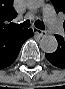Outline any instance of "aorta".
<instances>
[{"label":"aorta","mask_w":65,"mask_h":89,"mask_svg":"<svg viewBox=\"0 0 65 89\" xmlns=\"http://www.w3.org/2000/svg\"><path fill=\"white\" fill-rule=\"evenodd\" d=\"M30 6L32 8L40 7L39 1H32L30 2ZM58 42L55 36L53 35H44L40 40V48L45 53H54L57 50Z\"/></svg>","instance_id":"1"}]
</instances>
